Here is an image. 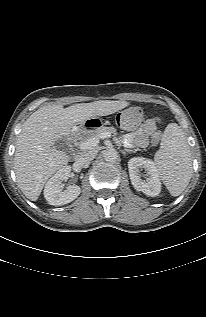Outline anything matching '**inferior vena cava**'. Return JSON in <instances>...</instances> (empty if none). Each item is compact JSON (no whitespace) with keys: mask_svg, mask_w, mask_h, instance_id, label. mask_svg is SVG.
<instances>
[{"mask_svg":"<svg viewBox=\"0 0 206 317\" xmlns=\"http://www.w3.org/2000/svg\"><path fill=\"white\" fill-rule=\"evenodd\" d=\"M95 155L93 151H82L76 156L75 160L80 164H85L93 160Z\"/></svg>","mask_w":206,"mask_h":317,"instance_id":"obj_1","label":"inferior vena cava"}]
</instances>
